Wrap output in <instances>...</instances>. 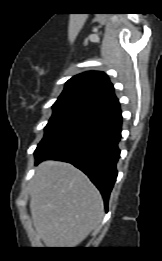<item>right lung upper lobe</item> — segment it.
I'll return each instance as SVG.
<instances>
[{
	"label": "right lung upper lobe",
	"mask_w": 162,
	"mask_h": 261,
	"mask_svg": "<svg viewBox=\"0 0 162 261\" xmlns=\"http://www.w3.org/2000/svg\"><path fill=\"white\" fill-rule=\"evenodd\" d=\"M76 93L100 101L103 106L117 101L108 76L100 71L78 74L66 82L62 94Z\"/></svg>",
	"instance_id": "cb5924a9"
}]
</instances>
